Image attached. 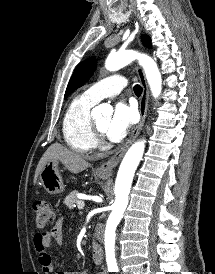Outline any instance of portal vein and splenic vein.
I'll use <instances>...</instances> for the list:
<instances>
[{
    "mask_svg": "<svg viewBox=\"0 0 215 274\" xmlns=\"http://www.w3.org/2000/svg\"><path fill=\"white\" fill-rule=\"evenodd\" d=\"M84 206H85L84 201L79 200V201L77 202V207H78V209H83Z\"/></svg>",
    "mask_w": 215,
    "mask_h": 274,
    "instance_id": "portal-vein-and-splenic-vein-1",
    "label": "portal vein and splenic vein"
}]
</instances>
